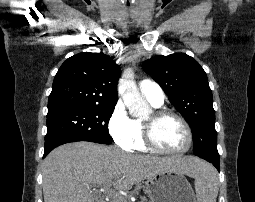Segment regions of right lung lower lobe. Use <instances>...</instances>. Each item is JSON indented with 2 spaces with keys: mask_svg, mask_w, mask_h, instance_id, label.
<instances>
[{
  "mask_svg": "<svg viewBox=\"0 0 255 202\" xmlns=\"http://www.w3.org/2000/svg\"><path fill=\"white\" fill-rule=\"evenodd\" d=\"M75 141H78V140L71 139V138H61V139H55V140H52L48 143H45V152H44L43 157H45L55 147H57L61 144H64V143L75 142Z\"/></svg>",
  "mask_w": 255,
  "mask_h": 202,
  "instance_id": "1",
  "label": "right lung lower lobe"
}]
</instances>
